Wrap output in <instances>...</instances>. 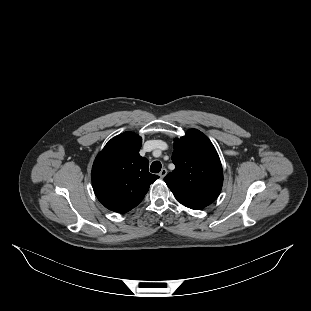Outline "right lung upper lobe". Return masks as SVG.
Here are the masks:
<instances>
[{"instance_id":"right-lung-upper-lobe-1","label":"right lung upper lobe","mask_w":311,"mask_h":311,"mask_svg":"<svg viewBox=\"0 0 311 311\" xmlns=\"http://www.w3.org/2000/svg\"><path fill=\"white\" fill-rule=\"evenodd\" d=\"M142 138L124 132L112 138L97 155L92 167V186L109 210L126 213L144 198L159 176L149 173V162L140 156Z\"/></svg>"}]
</instances>
